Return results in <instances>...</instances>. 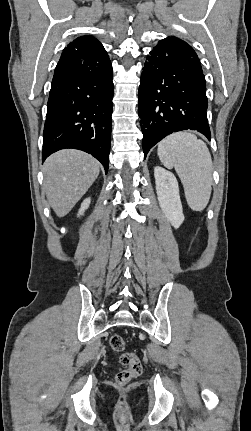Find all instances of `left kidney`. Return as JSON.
<instances>
[{"label":"left kidney","mask_w":251,"mask_h":431,"mask_svg":"<svg viewBox=\"0 0 251 431\" xmlns=\"http://www.w3.org/2000/svg\"><path fill=\"white\" fill-rule=\"evenodd\" d=\"M154 176L159 205L171 225L177 229L184 221L177 179L173 173L159 166L154 168Z\"/></svg>","instance_id":"obj_1"}]
</instances>
